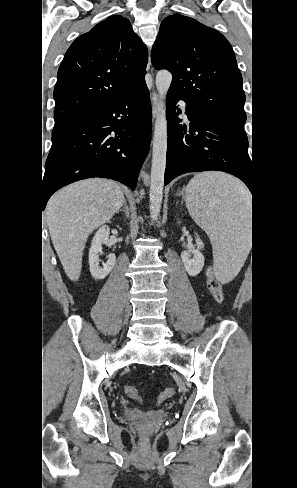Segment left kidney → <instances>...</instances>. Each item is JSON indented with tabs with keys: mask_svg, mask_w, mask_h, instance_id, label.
I'll list each match as a JSON object with an SVG mask.
<instances>
[{
	"mask_svg": "<svg viewBox=\"0 0 297 488\" xmlns=\"http://www.w3.org/2000/svg\"><path fill=\"white\" fill-rule=\"evenodd\" d=\"M197 249L183 251L181 253V259L184 263L185 269L190 276L198 275L204 266V256L200 250L203 249L204 244L200 238L196 237ZM193 255V258L191 256Z\"/></svg>",
	"mask_w": 297,
	"mask_h": 488,
	"instance_id": "1",
	"label": "left kidney"
}]
</instances>
